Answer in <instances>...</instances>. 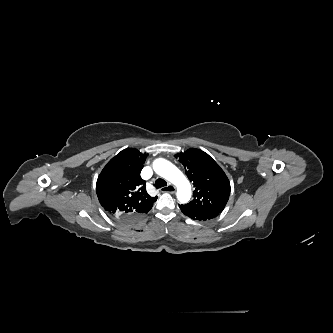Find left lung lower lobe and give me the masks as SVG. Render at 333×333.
<instances>
[{"label": "left lung lower lobe", "mask_w": 333, "mask_h": 333, "mask_svg": "<svg viewBox=\"0 0 333 333\" xmlns=\"http://www.w3.org/2000/svg\"><path fill=\"white\" fill-rule=\"evenodd\" d=\"M179 208L181 209L184 215L192 218L193 220L205 221V220H210L218 215L217 213H212V212L202 213V212L193 211L191 209L184 207L183 205H179Z\"/></svg>", "instance_id": "0a47b994"}]
</instances>
